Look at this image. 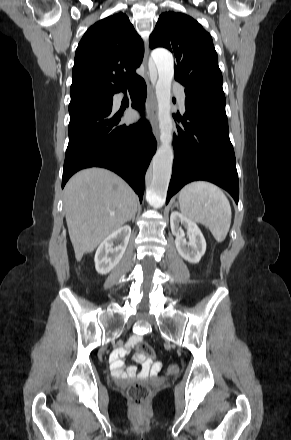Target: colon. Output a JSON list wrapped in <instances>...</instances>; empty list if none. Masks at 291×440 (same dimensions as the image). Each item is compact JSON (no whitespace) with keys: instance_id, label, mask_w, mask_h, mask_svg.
Returning <instances> with one entry per match:
<instances>
[{"instance_id":"1","label":"colon","mask_w":291,"mask_h":440,"mask_svg":"<svg viewBox=\"0 0 291 440\" xmlns=\"http://www.w3.org/2000/svg\"><path fill=\"white\" fill-rule=\"evenodd\" d=\"M137 358L155 356V352L151 349L150 345L146 341H140L136 345ZM151 395L150 388L141 382L133 383L129 386L127 391V397L135 408L144 407Z\"/></svg>"}]
</instances>
